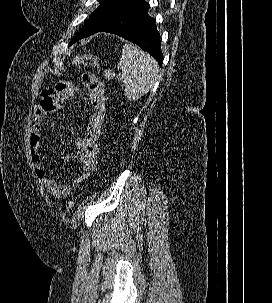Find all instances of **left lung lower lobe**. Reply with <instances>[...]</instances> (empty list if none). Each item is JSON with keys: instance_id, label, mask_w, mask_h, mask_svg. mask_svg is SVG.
Wrapping results in <instances>:
<instances>
[{"instance_id": "1", "label": "left lung lower lobe", "mask_w": 272, "mask_h": 303, "mask_svg": "<svg viewBox=\"0 0 272 303\" xmlns=\"http://www.w3.org/2000/svg\"><path fill=\"white\" fill-rule=\"evenodd\" d=\"M148 8L149 4L142 0L133 7L103 20L78 37L75 42L97 32L113 33L137 44L143 50L149 52L162 65L163 54L160 35L156 29L155 19L147 14Z\"/></svg>"}]
</instances>
